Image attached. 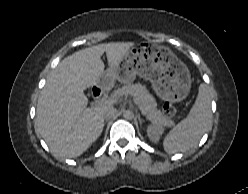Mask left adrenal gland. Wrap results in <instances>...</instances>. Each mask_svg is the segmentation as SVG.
I'll list each match as a JSON object with an SVG mask.
<instances>
[{
	"label": "left adrenal gland",
	"mask_w": 248,
	"mask_h": 194,
	"mask_svg": "<svg viewBox=\"0 0 248 194\" xmlns=\"http://www.w3.org/2000/svg\"><path fill=\"white\" fill-rule=\"evenodd\" d=\"M139 119V122H140V124L142 123V121H143V119H141L140 117L138 118Z\"/></svg>",
	"instance_id": "left-adrenal-gland-1"
}]
</instances>
